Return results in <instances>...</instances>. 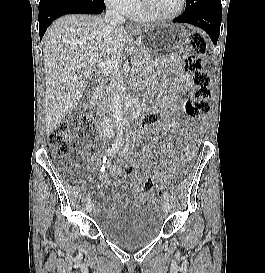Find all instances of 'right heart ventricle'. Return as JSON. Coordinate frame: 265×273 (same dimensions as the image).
I'll use <instances>...</instances> for the list:
<instances>
[{
  "mask_svg": "<svg viewBox=\"0 0 265 273\" xmlns=\"http://www.w3.org/2000/svg\"><path fill=\"white\" fill-rule=\"evenodd\" d=\"M128 15L134 20L148 21V19L145 17L144 13L142 12L140 8L139 0L136 6L128 13Z\"/></svg>",
  "mask_w": 265,
  "mask_h": 273,
  "instance_id": "right-heart-ventricle-1",
  "label": "right heart ventricle"
}]
</instances>
